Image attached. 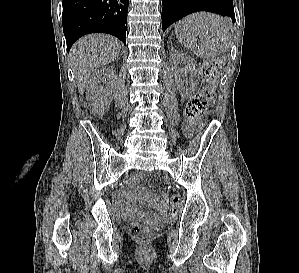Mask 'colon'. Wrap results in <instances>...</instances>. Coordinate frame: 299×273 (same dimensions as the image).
I'll return each instance as SVG.
<instances>
[{"label": "colon", "mask_w": 299, "mask_h": 273, "mask_svg": "<svg viewBox=\"0 0 299 273\" xmlns=\"http://www.w3.org/2000/svg\"><path fill=\"white\" fill-rule=\"evenodd\" d=\"M202 79L205 86L196 93L185 107V117L197 130H201L204 124L201 118L204 116L209 104L214 98V83L218 75V65L213 60L206 61L201 68ZM181 199L175 195L171 198L169 215H177ZM131 234L140 239L148 238L152 234V228L146 224L134 223L130 226Z\"/></svg>", "instance_id": "obj_1"}]
</instances>
